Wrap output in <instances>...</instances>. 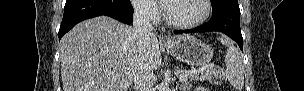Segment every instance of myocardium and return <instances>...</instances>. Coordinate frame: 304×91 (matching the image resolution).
Listing matches in <instances>:
<instances>
[{
	"label": "myocardium",
	"instance_id": "1",
	"mask_svg": "<svg viewBox=\"0 0 304 91\" xmlns=\"http://www.w3.org/2000/svg\"><path fill=\"white\" fill-rule=\"evenodd\" d=\"M170 1H176V0H169V1L163 2L162 6H163V11H164V18H165L166 23L169 26L177 28V29H192V28L198 27L207 20V18L209 17V15L211 13V1L210 0H200L203 5V14L197 20H195L193 22H187V23L176 22L173 19H171L168 14L167 5Z\"/></svg>",
	"mask_w": 304,
	"mask_h": 91
}]
</instances>
